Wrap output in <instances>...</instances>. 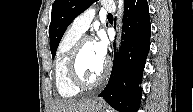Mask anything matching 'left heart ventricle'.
<instances>
[{"label": "left heart ventricle", "instance_id": "left-heart-ventricle-1", "mask_svg": "<svg viewBox=\"0 0 193 112\" xmlns=\"http://www.w3.org/2000/svg\"><path fill=\"white\" fill-rule=\"evenodd\" d=\"M105 65L93 41L85 43L79 58V72L88 82L95 81L102 73Z\"/></svg>", "mask_w": 193, "mask_h": 112}]
</instances>
